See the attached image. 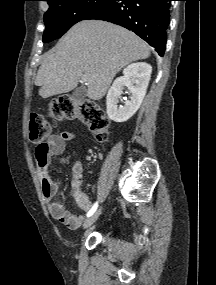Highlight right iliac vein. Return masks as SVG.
<instances>
[{
	"mask_svg": "<svg viewBox=\"0 0 216 285\" xmlns=\"http://www.w3.org/2000/svg\"><path fill=\"white\" fill-rule=\"evenodd\" d=\"M101 214V209L97 210L94 214H92L83 224V227L86 229L90 227L94 222L98 219Z\"/></svg>",
	"mask_w": 216,
	"mask_h": 285,
	"instance_id": "obj_1",
	"label": "right iliac vein"
}]
</instances>
